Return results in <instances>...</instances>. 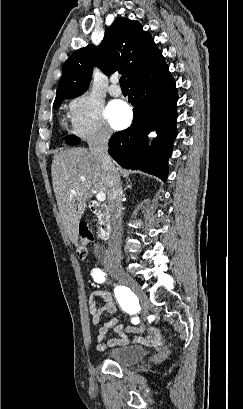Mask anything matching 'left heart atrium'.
<instances>
[{
    "label": "left heart atrium",
    "mask_w": 243,
    "mask_h": 409,
    "mask_svg": "<svg viewBox=\"0 0 243 409\" xmlns=\"http://www.w3.org/2000/svg\"><path fill=\"white\" fill-rule=\"evenodd\" d=\"M106 118L114 129H123L129 125L132 119L130 107L122 101L111 102L105 111Z\"/></svg>",
    "instance_id": "39dd6f15"
}]
</instances>
